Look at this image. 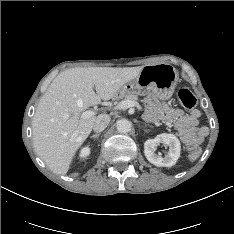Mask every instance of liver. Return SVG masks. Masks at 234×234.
I'll list each match as a JSON object with an SVG mask.
<instances>
[{"label": "liver", "instance_id": "1", "mask_svg": "<svg viewBox=\"0 0 234 234\" xmlns=\"http://www.w3.org/2000/svg\"><path fill=\"white\" fill-rule=\"evenodd\" d=\"M142 68H71L52 81L32 120L34 148L51 171L66 174L76 151L91 133L97 117L85 119L82 113L115 97Z\"/></svg>", "mask_w": 234, "mask_h": 234}]
</instances>
